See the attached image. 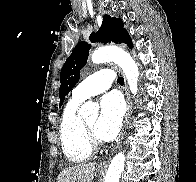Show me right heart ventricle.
Wrapping results in <instances>:
<instances>
[{"label": "right heart ventricle", "instance_id": "1", "mask_svg": "<svg viewBox=\"0 0 196 182\" xmlns=\"http://www.w3.org/2000/svg\"><path fill=\"white\" fill-rule=\"evenodd\" d=\"M81 101L72 98L66 104L60 125L59 137L65 157L72 163H81L89 159L92 148L86 141L82 120L78 115Z\"/></svg>", "mask_w": 196, "mask_h": 182}]
</instances>
